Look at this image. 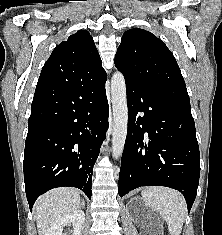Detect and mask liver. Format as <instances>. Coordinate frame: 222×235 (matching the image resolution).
I'll return each mask as SVG.
<instances>
[{
  "label": "liver",
  "instance_id": "6515ba94",
  "mask_svg": "<svg viewBox=\"0 0 222 235\" xmlns=\"http://www.w3.org/2000/svg\"><path fill=\"white\" fill-rule=\"evenodd\" d=\"M80 202L73 188H57L40 196L34 206L38 235H46L53 222L76 211Z\"/></svg>",
  "mask_w": 222,
  "mask_h": 235
}]
</instances>
